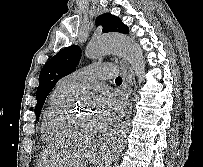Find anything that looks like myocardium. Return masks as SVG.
I'll return each instance as SVG.
<instances>
[{
  "label": "myocardium",
  "instance_id": "myocardium-1",
  "mask_svg": "<svg viewBox=\"0 0 203 167\" xmlns=\"http://www.w3.org/2000/svg\"><path fill=\"white\" fill-rule=\"evenodd\" d=\"M80 95V92L74 94L68 108L62 113L57 122L59 130L72 141H87L94 138L99 133L98 130L93 132H82L77 129L75 103Z\"/></svg>",
  "mask_w": 203,
  "mask_h": 167
}]
</instances>
